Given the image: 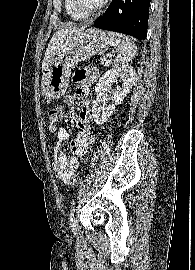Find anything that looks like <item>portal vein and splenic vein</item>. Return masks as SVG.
<instances>
[{"label":"portal vein and splenic vein","instance_id":"1","mask_svg":"<svg viewBox=\"0 0 195 270\" xmlns=\"http://www.w3.org/2000/svg\"><path fill=\"white\" fill-rule=\"evenodd\" d=\"M106 57L111 58V57H112V55H111V54H107V55H106Z\"/></svg>","mask_w":195,"mask_h":270}]
</instances>
